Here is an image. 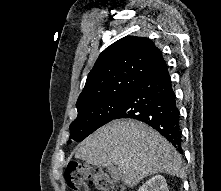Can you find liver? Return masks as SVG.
<instances>
[{
  "label": "liver",
  "mask_w": 221,
  "mask_h": 191,
  "mask_svg": "<svg viewBox=\"0 0 221 191\" xmlns=\"http://www.w3.org/2000/svg\"><path fill=\"white\" fill-rule=\"evenodd\" d=\"M95 166L118 167L128 187L157 173L182 177V159L175 148L148 125L119 119L99 128L79 144L75 154Z\"/></svg>",
  "instance_id": "1"
}]
</instances>
